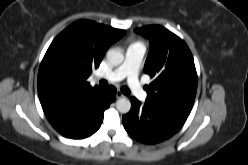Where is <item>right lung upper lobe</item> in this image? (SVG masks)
<instances>
[{
  "instance_id": "cb5924a9",
  "label": "right lung upper lobe",
  "mask_w": 248,
  "mask_h": 165,
  "mask_svg": "<svg viewBox=\"0 0 248 165\" xmlns=\"http://www.w3.org/2000/svg\"><path fill=\"white\" fill-rule=\"evenodd\" d=\"M124 34V30L79 20L53 40L37 80L39 99L49 122L70 116L99 97L103 89L91 87L86 79L107 49Z\"/></svg>"
}]
</instances>
